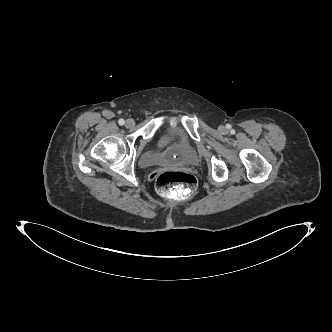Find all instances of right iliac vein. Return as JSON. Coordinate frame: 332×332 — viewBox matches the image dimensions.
<instances>
[{"label": "right iliac vein", "instance_id": "1", "mask_svg": "<svg viewBox=\"0 0 332 332\" xmlns=\"http://www.w3.org/2000/svg\"><path fill=\"white\" fill-rule=\"evenodd\" d=\"M134 125H135V122H134L133 119H127L126 122H125V126L127 128H132Z\"/></svg>", "mask_w": 332, "mask_h": 332}]
</instances>
